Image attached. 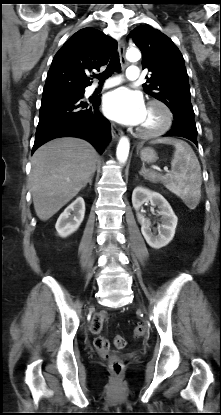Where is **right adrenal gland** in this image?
I'll list each match as a JSON object with an SVG mask.
<instances>
[{
    "label": "right adrenal gland",
    "instance_id": "obj_1",
    "mask_svg": "<svg viewBox=\"0 0 221 415\" xmlns=\"http://www.w3.org/2000/svg\"><path fill=\"white\" fill-rule=\"evenodd\" d=\"M93 177H94V174L88 180V183H89L90 186L92 185V179H93Z\"/></svg>",
    "mask_w": 221,
    "mask_h": 415
}]
</instances>
